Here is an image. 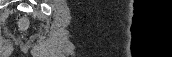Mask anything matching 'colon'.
<instances>
[{
  "label": "colon",
  "instance_id": "1",
  "mask_svg": "<svg viewBox=\"0 0 172 57\" xmlns=\"http://www.w3.org/2000/svg\"><path fill=\"white\" fill-rule=\"evenodd\" d=\"M19 26H20L22 29H26V28L28 27V21H27V19H22V20H20Z\"/></svg>",
  "mask_w": 172,
  "mask_h": 57
}]
</instances>
